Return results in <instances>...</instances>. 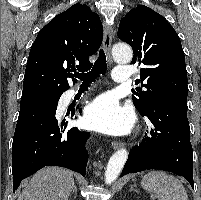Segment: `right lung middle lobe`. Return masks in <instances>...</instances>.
<instances>
[{"mask_svg":"<svg viewBox=\"0 0 201 200\" xmlns=\"http://www.w3.org/2000/svg\"><path fill=\"white\" fill-rule=\"evenodd\" d=\"M61 95H40L31 97H21V106L31 104L34 102H39L43 100L59 99Z\"/></svg>","mask_w":201,"mask_h":200,"instance_id":"dd1d6c3e","label":"right lung middle lobe"}]
</instances>
